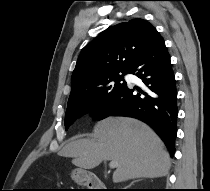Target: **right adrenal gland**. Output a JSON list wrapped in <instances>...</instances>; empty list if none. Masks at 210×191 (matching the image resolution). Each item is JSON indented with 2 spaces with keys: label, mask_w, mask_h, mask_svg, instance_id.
Wrapping results in <instances>:
<instances>
[{
  "label": "right adrenal gland",
  "mask_w": 210,
  "mask_h": 191,
  "mask_svg": "<svg viewBox=\"0 0 210 191\" xmlns=\"http://www.w3.org/2000/svg\"><path fill=\"white\" fill-rule=\"evenodd\" d=\"M139 180H135L133 182H131V184L129 186H131L133 183L138 182Z\"/></svg>",
  "instance_id": "right-adrenal-gland-1"
}]
</instances>
